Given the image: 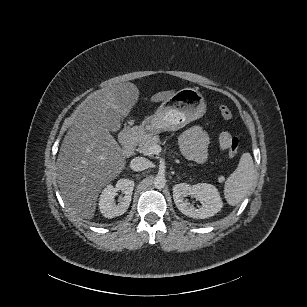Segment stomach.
Returning <instances> with one entry per match:
<instances>
[{
	"label": "stomach",
	"instance_id": "stomach-1",
	"mask_svg": "<svg viewBox=\"0 0 307 307\" xmlns=\"http://www.w3.org/2000/svg\"><path fill=\"white\" fill-rule=\"evenodd\" d=\"M206 112V102L194 88H183L164 100L154 115L143 120L141 128L152 135L164 131H177L201 118Z\"/></svg>",
	"mask_w": 307,
	"mask_h": 307
}]
</instances>
